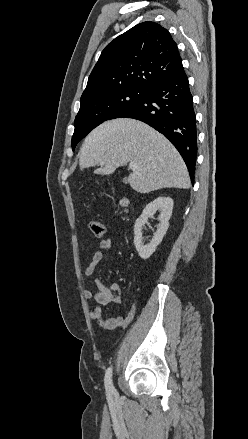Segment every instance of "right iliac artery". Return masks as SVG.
Instances as JSON below:
<instances>
[{
    "label": "right iliac artery",
    "mask_w": 248,
    "mask_h": 439,
    "mask_svg": "<svg viewBox=\"0 0 248 439\" xmlns=\"http://www.w3.org/2000/svg\"><path fill=\"white\" fill-rule=\"evenodd\" d=\"M104 383H105L106 392L108 394H111L115 391V388L112 384V367H109L107 369L106 374H105Z\"/></svg>",
    "instance_id": "1"
}]
</instances>
